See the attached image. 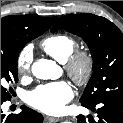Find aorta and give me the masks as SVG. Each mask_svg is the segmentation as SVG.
I'll return each instance as SVG.
<instances>
[{"instance_id": "762f6f07", "label": "aorta", "mask_w": 123, "mask_h": 123, "mask_svg": "<svg viewBox=\"0 0 123 123\" xmlns=\"http://www.w3.org/2000/svg\"><path fill=\"white\" fill-rule=\"evenodd\" d=\"M32 73L38 79L54 80L60 76V68L54 61L42 58L33 63ZM62 123H71V122L65 121Z\"/></svg>"}]
</instances>
